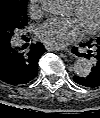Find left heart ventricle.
I'll list each match as a JSON object with an SVG mask.
<instances>
[{
	"label": "left heart ventricle",
	"instance_id": "left-heart-ventricle-1",
	"mask_svg": "<svg viewBox=\"0 0 100 118\" xmlns=\"http://www.w3.org/2000/svg\"><path fill=\"white\" fill-rule=\"evenodd\" d=\"M71 14L75 16L74 9L72 8ZM80 26L85 29L93 25L98 17V5L96 0H89L79 16H75Z\"/></svg>",
	"mask_w": 100,
	"mask_h": 118
}]
</instances>
